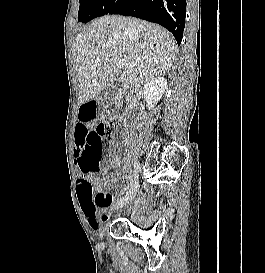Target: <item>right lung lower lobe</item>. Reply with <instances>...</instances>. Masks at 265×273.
<instances>
[{"mask_svg":"<svg viewBox=\"0 0 265 273\" xmlns=\"http://www.w3.org/2000/svg\"><path fill=\"white\" fill-rule=\"evenodd\" d=\"M108 14L134 16L167 28L180 45L186 16V0H117Z\"/></svg>","mask_w":265,"mask_h":273,"instance_id":"1","label":"right lung lower lobe"}]
</instances>
